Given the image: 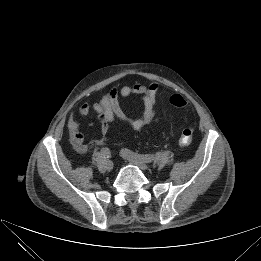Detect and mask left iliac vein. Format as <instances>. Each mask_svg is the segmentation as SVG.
I'll use <instances>...</instances> for the list:
<instances>
[{
	"label": "left iliac vein",
	"instance_id": "1",
	"mask_svg": "<svg viewBox=\"0 0 261 261\" xmlns=\"http://www.w3.org/2000/svg\"><path fill=\"white\" fill-rule=\"evenodd\" d=\"M122 157L127 160L128 162H130L131 164L137 165L138 167H140L141 169H147L148 166L146 164V162L139 160V159H134V158H130L128 157L123 151L121 152Z\"/></svg>",
	"mask_w": 261,
	"mask_h": 261
}]
</instances>
